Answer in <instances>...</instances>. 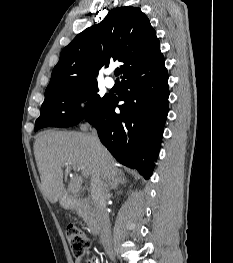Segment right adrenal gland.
I'll use <instances>...</instances> for the list:
<instances>
[{"instance_id":"obj_1","label":"right adrenal gland","mask_w":233,"mask_h":263,"mask_svg":"<svg viewBox=\"0 0 233 263\" xmlns=\"http://www.w3.org/2000/svg\"><path fill=\"white\" fill-rule=\"evenodd\" d=\"M127 179L124 174H120L116 180L111 184V189H116L119 185H125L127 183Z\"/></svg>"}]
</instances>
